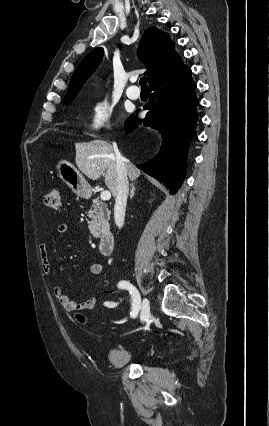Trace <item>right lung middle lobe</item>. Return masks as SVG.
Here are the masks:
<instances>
[{
	"label": "right lung middle lobe",
	"mask_w": 269,
	"mask_h": 426,
	"mask_svg": "<svg viewBox=\"0 0 269 426\" xmlns=\"http://www.w3.org/2000/svg\"><path fill=\"white\" fill-rule=\"evenodd\" d=\"M73 100H74V97H73V98H67V99H64L63 103H64L65 105H68V104H70Z\"/></svg>",
	"instance_id": "1"
}]
</instances>
